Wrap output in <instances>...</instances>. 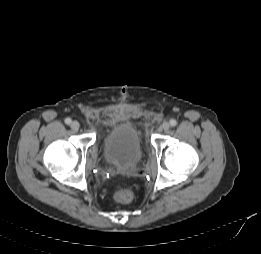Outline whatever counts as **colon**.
Returning a JSON list of instances; mask_svg holds the SVG:
<instances>
[{
	"label": "colon",
	"mask_w": 261,
	"mask_h": 254,
	"mask_svg": "<svg viewBox=\"0 0 261 254\" xmlns=\"http://www.w3.org/2000/svg\"><path fill=\"white\" fill-rule=\"evenodd\" d=\"M134 195L132 190L128 189V188H123L119 191H117L114 195V198L117 202L119 203H129L132 201Z\"/></svg>",
	"instance_id": "obj_1"
}]
</instances>
